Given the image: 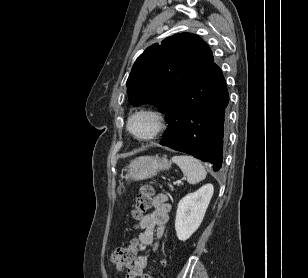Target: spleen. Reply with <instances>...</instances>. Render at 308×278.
I'll return each mask as SVG.
<instances>
[{
  "mask_svg": "<svg viewBox=\"0 0 308 278\" xmlns=\"http://www.w3.org/2000/svg\"><path fill=\"white\" fill-rule=\"evenodd\" d=\"M172 161L187 176L189 184H196L205 179L206 171L198 159L188 155H180L172 157Z\"/></svg>",
  "mask_w": 308,
  "mask_h": 278,
  "instance_id": "spleen-1",
  "label": "spleen"
}]
</instances>
